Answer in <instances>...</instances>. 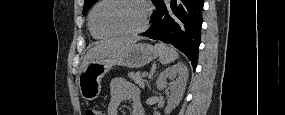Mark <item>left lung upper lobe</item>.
Returning a JSON list of instances; mask_svg holds the SVG:
<instances>
[{"label": "left lung upper lobe", "instance_id": "5c2ea615", "mask_svg": "<svg viewBox=\"0 0 285 115\" xmlns=\"http://www.w3.org/2000/svg\"><path fill=\"white\" fill-rule=\"evenodd\" d=\"M97 2V0H85L83 15L87 13V11Z\"/></svg>", "mask_w": 285, "mask_h": 115}]
</instances>
